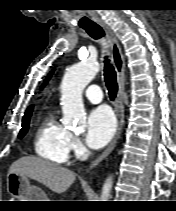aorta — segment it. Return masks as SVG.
<instances>
[{
    "label": "aorta",
    "instance_id": "1",
    "mask_svg": "<svg viewBox=\"0 0 176 211\" xmlns=\"http://www.w3.org/2000/svg\"><path fill=\"white\" fill-rule=\"evenodd\" d=\"M99 66L93 62H82L67 69L61 83L62 122L65 126L83 130L86 116L82 102V92L96 76ZM112 178L106 179L101 192V201H108L112 189Z\"/></svg>",
    "mask_w": 176,
    "mask_h": 211
}]
</instances>
